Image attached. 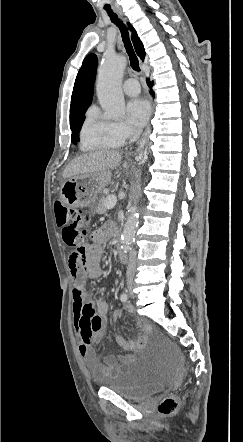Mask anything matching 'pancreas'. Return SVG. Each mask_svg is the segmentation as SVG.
<instances>
[{"instance_id": "cf45deb5", "label": "pancreas", "mask_w": 243, "mask_h": 442, "mask_svg": "<svg viewBox=\"0 0 243 442\" xmlns=\"http://www.w3.org/2000/svg\"><path fill=\"white\" fill-rule=\"evenodd\" d=\"M110 197H112V195H110V196H108V197H106V198H105V197H102V198L99 200V202L97 203V206H96V211H97L98 213L103 214V213H105V212L107 211V208H106L105 204H106L107 199L110 198Z\"/></svg>"}]
</instances>
